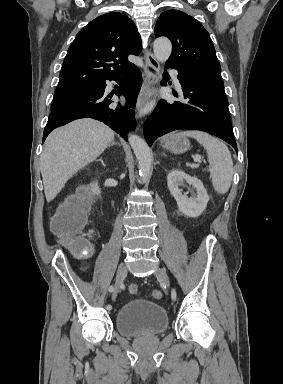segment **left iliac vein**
I'll list each match as a JSON object with an SVG mask.
<instances>
[{"instance_id": "left-iliac-vein-1", "label": "left iliac vein", "mask_w": 283, "mask_h": 384, "mask_svg": "<svg viewBox=\"0 0 283 384\" xmlns=\"http://www.w3.org/2000/svg\"><path fill=\"white\" fill-rule=\"evenodd\" d=\"M155 276L157 278H159L161 280V282L167 287L169 288L170 287V280H169V277L166 273V271L162 268H157V270L155 271Z\"/></svg>"}]
</instances>
